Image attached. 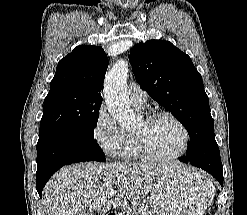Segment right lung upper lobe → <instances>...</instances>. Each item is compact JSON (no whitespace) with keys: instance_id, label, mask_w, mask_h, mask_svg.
<instances>
[{"instance_id":"obj_1","label":"right lung upper lobe","mask_w":247,"mask_h":215,"mask_svg":"<svg viewBox=\"0 0 247 215\" xmlns=\"http://www.w3.org/2000/svg\"><path fill=\"white\" fill-rule=\"evenodd\" d=\"M108 58L99 46L80 45L58 63L50 91L70 89L77 95L102 100Z\"/></svg>"}]
</instances>
